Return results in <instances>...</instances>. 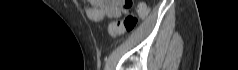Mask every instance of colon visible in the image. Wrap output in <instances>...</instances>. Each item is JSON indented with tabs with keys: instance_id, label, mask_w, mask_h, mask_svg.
<instances>
[{
	"instance_id": "1",
	"label": "colon",
	"mask_w": 238,
	"mask_h": 70,
	"mask_svg": "<svg viewBox=\"0 0 238 70\" xmlns=\"http://www.w3.org/2000/svg\"><path fill=\"white\" fill-rule=\"evenodd\" d=\"M134 2L131 0L126 1V7H133ZM141 16H146L148 13V8L144 3H140L137 8ZM138 23V17L134 14L127 15L122 21L112 23L109 27V31L113 36L122 34L123 32L132 31Z\"/></svg>"
}]
</instances>
